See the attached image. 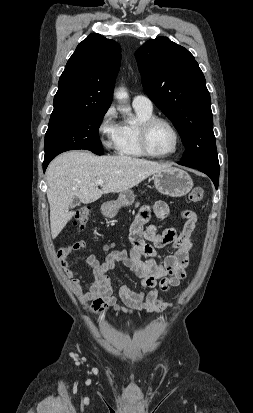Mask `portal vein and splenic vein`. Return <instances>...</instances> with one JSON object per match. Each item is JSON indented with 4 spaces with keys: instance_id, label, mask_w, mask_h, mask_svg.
<instances>
[{
    "instance_id": "portal-vein-and-splenic-vein-1",
    "label": "portal vein and splenic vein",
    "mask_w": 253,
    "mask_h": 413,
    "mask_svg": "<svg viewBox=\"0 0 253 413\" xmlns=\"http://www.w3.org/2000/svg\"><path fill=\"white\" fill-rule=\"evenodd\" d=\"M96 184L102 186V185H104V181L98 180V181H96Z\"/></svg>"
}]
</instances>
